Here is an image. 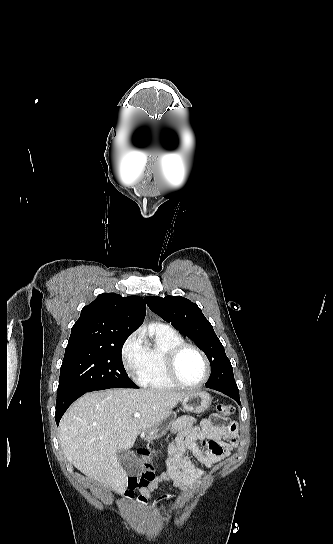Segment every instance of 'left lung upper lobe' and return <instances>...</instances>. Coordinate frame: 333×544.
Wrapping results in <instances>:
<instances>
[{
    "instance_id": "5c2ea615",
    "label": "left lung upper lobe",
    "mask_w": 333,
    "mask_h": 544,
    "mask_svg": "<svg viewBox=\"0 0 333 544\" xmlns=\"http://www.w3.org/2000/svg\"><path fill=\"white\" fill-rule=\"evenodd\" d=\"M145 301L154 313L194 340L204 351L211 364L206 387L238 390L224 347L197 304L182 296H147Z\"/></svg>"
}]
</instances>
